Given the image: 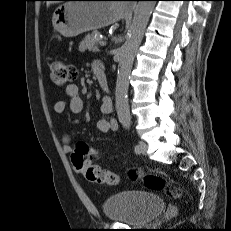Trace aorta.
Masks as SVG:
<instances>
[{
	"label": "aorta",
	"mask_w": 231,
	"mask_h": 231,
	"mask_svg": "<svg viewBox=\"0 0 231 231\" xmlns=\"http://www.w3.org/2000/svg\"><path fill=\"white\" fill-rule=\"evenodd\" d=\"M155 1H139L134 11L127 38L120 51L118 74L115 91V108L120 122L130 123L128 88L131 69L136 50L141 43Z\"/></svg>",
	"instance_id": "762f6f07"
}]
</instances>
